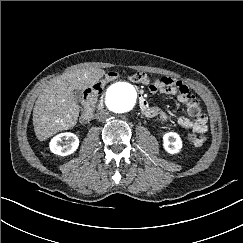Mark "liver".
I'll use <instances>...</instances> for the list:
<instances>
[{
  "label": "liver",
  "instance_id": "liver-1",
  "mask_svg": "<svg viewBox=\"0 0 243 243\" xmlns=\"http://www.w3.org/2000/svg\"><path fill=\"white\" fill-rule=\"evenodd\" d=\"M104 74L102 69L87 67L50 80L33 109V126L38 140L44 141L59 131L74 127L80 112L74 91L93 86Z\"/></svg>",
  "mask_w": 243,
  "mask_h": 243
}]
</instances>
